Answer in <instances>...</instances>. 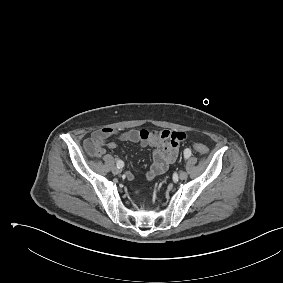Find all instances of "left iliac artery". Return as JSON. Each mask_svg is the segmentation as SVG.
<instances>
[{
  "instance_id": "44dca946",
  "label": "left iliac artery",
  "mask_w": 283,
  "mask_h": 283,
  "mask_svg": "<svg viewBox=\"0 0 283 283\" xmlns=\"http://www.w3.org/2000/svg\"><path fill=\"white\" fill-rule=\"evenodd\" d=\"M190 155H191V151H190L189 149H186V150L184 151V157H185V159H188V158L190 157Z\"/></svg>"
}]
</instances>
